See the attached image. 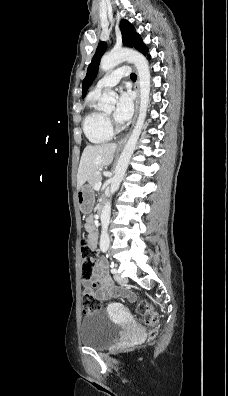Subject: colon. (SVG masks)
I'll use <instances>...</instances> for the list:
<instances>
[{
	"label": "colon",
	"mask_w": 228,
	"mask_h": 396,
	"mask_svg": "<svg viewBox=\"0 0 228 396\" xmlns=\"http://www.w3.org/2000/svg\"><path fill=\"white\" fill-rule=\"evenodd\" d=\"M88 235H84L81 239V256H82V277L84 280H91L93 271L96 266V257L94 256L88 244ZM101 306L100 301L90 293H85L82 299V308L85 313L93 312ZM136 310L140 315L143 323L150 328L148 337L153 339L159 330V315L153 310L151 305L142 300L137 304Z\"/></svg>",
	"instance_id": "obj_1"
}]
</instances>
